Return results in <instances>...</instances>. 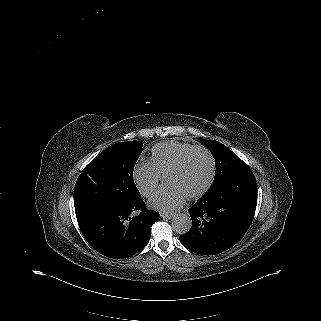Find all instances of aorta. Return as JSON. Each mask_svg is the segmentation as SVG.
<instances>
[{"mask_svg":"<svg viewBox=\"0 0 321 321\" xmlns=\"http://www.w3.org/2000/svg\"><path fill=\"white\" fill-rule=\"evenodd\" d=\"M192 227L191 217L184 213H179L172 218V228L178 234L187 233Z\"/></svg>","mask_w":321,"mask_h":321,"instance_id":"aorta-1","label":"aorta"}]
</instances>
